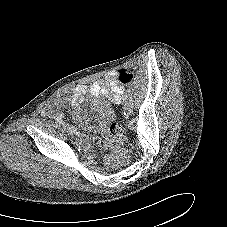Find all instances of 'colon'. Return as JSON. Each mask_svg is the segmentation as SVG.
<instances>
[{
  "label": "colon",
  "mask_w": 227,
  "mask_h": 227,
  "mask_svg": "<svg viewBox=\"0 0 227 227\" xmlns=\"http://www.w3.org/2000/svg\"><path fill=\"white\" fill-rule=\"evenodd\" d=\"M132 75L127 71L121 70L118 73V85L124 86L131 82ZM112 105L110 99L105 98L98 102V107L104 111L108 110V115L110 116L108 122L110 124V135H111V145L118 156L122 165L127 166L132 161L131 153L123 147L124 142L126 141V134L123 127L118 123L119 119L114 115L113 110H109Z\"/></svg>",
  "instance_id": "5ec220e1"
}]
</instances>
